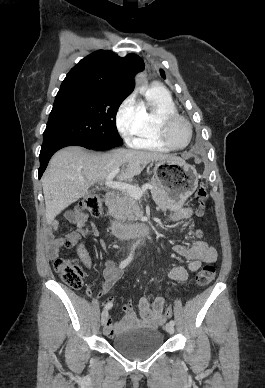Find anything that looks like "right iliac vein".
<instances>
[{
  "mask_svg": "<svg viewBox=\"0 0 265 388\" xmlns=\"http://www.w3.org/2000/svg\"><path fill=\"white\" fill-rule=\"evenodd\" d=\"M108 316H109L108 311H107V310H104V311L102 312V315H101V324H102V326H104V325L106 324V321H107V319H108Z\"/></svg>",
  "mask_w": 265,
  "mask_h": 388,
  "instance_id": "obj_1",
  "label": "right iliac vein"
}]
</instances>
